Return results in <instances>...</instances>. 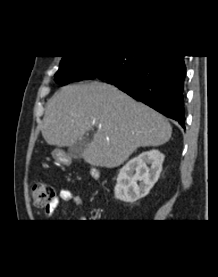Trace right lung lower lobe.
Wrapping results in <instances>:
<instances>
[{"label":"right lung lower lobe","instance_id":"1","mask_svg":"<svg viewBox=\"0 0 218 277\" xmlns=\"http://www.w3.org/2000/svg\"><path fill=\"white\" fill-rule=\"evenodd\" d=\"M184 56H150L125 82H109L131 97L149 105L185 128ZM103 79L86 74L83 79ZM82 80V79H81Z\"/></svg>","mask_w":218,"mask_h":277}]
</instances>
